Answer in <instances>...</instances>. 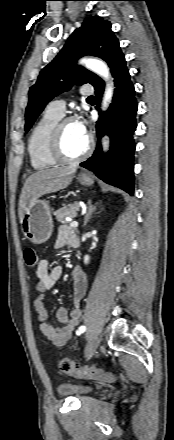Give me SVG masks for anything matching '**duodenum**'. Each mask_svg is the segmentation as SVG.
<instances>
[{
  "instance_id": "1",
  "label": "duodenum",
  "mask_w": 174,
  "mask_h": 440,
  "mask_svg": "<svg viewBox=\"0 0 174 440\" xmlns=\"http://www.w3.org/2000/svg\"><path fill=\"white\" fill-rule=\"evenodd\" d=\"M81 244V239L78 237L76 240V246H79Z\"/></svg>"
}]
</instances>
